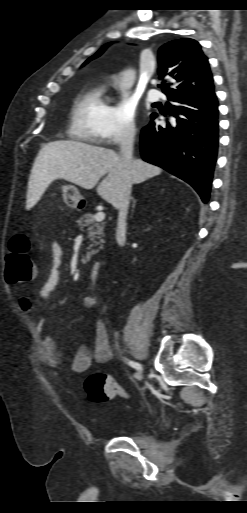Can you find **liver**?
I'll list each match as a JSON object with an SVG mask.
<instances>
[{
    "mask_svg": "<svg viewBox=\"0 0 247 513\" xmlns=\"http://www.w3.org/2000/svg\"><path fill=\"white\" fill-rule=\"evenodd\" d=\"M161 171L157 166L136 159L129 172L121 153L117 154L114 150L70 140L49 142L41 148L33 164L26 208L36 204L56 179H65L82 188L92 189L106 175L98 184L97 193L112 204L124 183L132 186L159 175Z\"/></svg>",
    "mask_w": 247,
    "mask_h": 513,
    "instance_id": "obj_1",
    "label": "liver"
}]
</instances>
